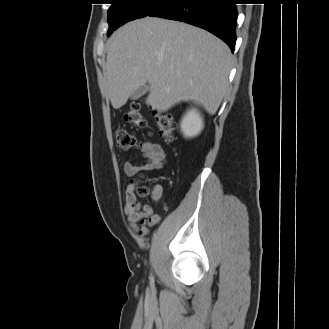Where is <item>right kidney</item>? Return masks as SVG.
Instances as JSON below:
<instances>
[{
    "label": "right kidney",
    "instance_id": "right-kidney-1",
    "mask_svg": "<svg viewBox=\"0 0 329 329\" xmlns=\"http://www.w3.org/2000/svg\"><path fill=\"white\" fill-rule=\"evenodd\" d=\"M203 127V118L195 108L188 110L180 122L181 132L186 138L197 136Z\"/></svg>",
    "mask_w": 329,
    "mask_h": 329
}]
</instances>
